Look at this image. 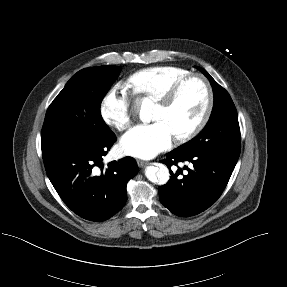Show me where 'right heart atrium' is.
<instances>
[{"label": "right heart atrium", "mask_w": 287, "mask_h": 287, "mask_svg": "<svg viewBox=\"0 0 287 287\" xmlns=\"http://www.w3.org/2000/svg\"><path fill=\"white\" fill-rule=\"evenodd\" d=\"M103 122L118 130H126L132 120L131 101L122 84L115 85L102 99L99 108Z\"/></svg>", "instance_id": "obj_1"}]
</instances>
